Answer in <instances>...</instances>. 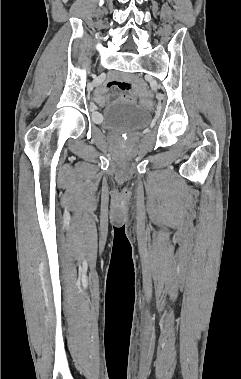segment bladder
I'll list each match as a JSON object with an SVG mask.
<instances>
[{"label": "bladder", "instance_id": "bladder-1", "mask_svg": "<svg viewBox=\"0 0 241 379\" xmlns=\"http://www.w3.org/2000/svg\"><path fill=\"white\" fill-rule=\"evenodd\" d=\"M151 122L148 110L130 103H117L108 107L102 114L100 124L108 130L134 132Z\"/></svg>", "mask_w": 241, "mask_h": 379}]
</instances>
